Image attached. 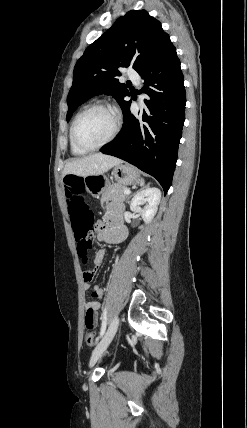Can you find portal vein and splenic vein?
Returning <instances> with one entry per match:
<instances>
[{
  "label": "portal vein and splenic vein",
  "mask_w": 247,
  "mask_h": 428,
  "mask_svg": "<svg viewBox=\"0 0 247 428\" xmlns=\"http://www.w3.org/2000/svg\"><path fill=\"white\" fill-rule=\"evenodd\" d=\"M131 193V191L130 190H128V189H126L125 191H124V194H126V195H128V194H130Z\"/></svg>",
  "instance_id": "obj_1"
}]
</instances>
